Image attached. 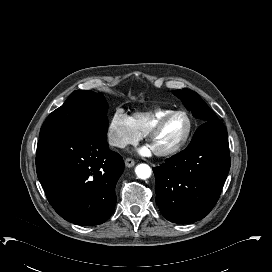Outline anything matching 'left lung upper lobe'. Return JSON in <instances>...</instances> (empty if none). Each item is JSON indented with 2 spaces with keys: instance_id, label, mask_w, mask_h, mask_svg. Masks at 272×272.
Listing matches in <instances>:
<instances>
[{
  "instance_id": "1",
  "label": "left lung upper lobe",
  "mask_w": 272,
  "mask_h": 272,
  "mask_svg": "<svg viewBox=\"0 0 272 272\" xmlns=\"http://www.w3.org/2000/svg\"><path fill=\"white\" fill-rule=\"evenodd\" d=\"M173 94L182 100L185 107L197 118L207 121H218L216 114L207 106L202 98L190 89L175 90Z\"/></svg>"
}]
</instances>
